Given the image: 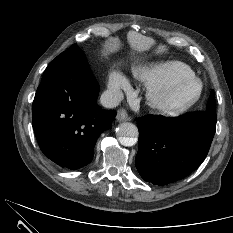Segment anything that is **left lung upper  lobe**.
<instances>
[{"label": "left lung upper lobe", "mask_w": 233, "mask_h": 233, "mask_svg": "<svg viewBox=\"0 0 233 233\" xmlns=\"http://www.w3.org/2000/svg\"><path fill=\"white\" fill-rule=\"evenodd\" d=\"M205 112L216 114V103H215L214 91H211L210 93V98H209Z\"/></svg>", "instance_id": "1"}]
</instances>
